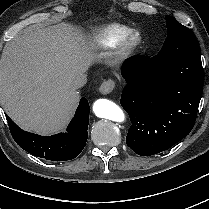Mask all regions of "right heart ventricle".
<instances>
[{
	"instance_id": "right-heart-ventricle-1",
	"label": "right heart ventricle",
	"mask_w": 209,
	"mask_h": 209,
	"mask_svg": "<svg viewBox=\"0 0 209 209\" xmlns=\"http://www.w3.org/2000/svg\"><path fill=\"white\" fill-rule=\"evenodd\" d=\"M132 30L126 24L113 23L103 28L94 30L87 36L86 42L92 47L103 48L112 45V43L124 33Z\"/></svg>"
}]
</instances>
